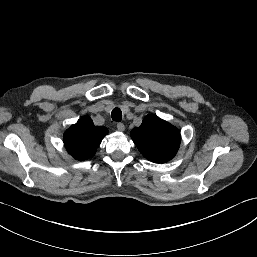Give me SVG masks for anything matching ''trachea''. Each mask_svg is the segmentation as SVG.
Returning <instances> with one entry per match:
<instances>
[{
	"mask_svg": "<svg viewBox=\"0 0 257 257\" xmlns=\"http://www.w3.org/2000/svg\"><path fill=\"white\" fill-rule=\"evenodd\" d=\"M111 117L114 121L120 122L122 119V112L119 108H114L111 113Z\"/></svg>",
	"mask_w": 257,
	"mask_h": 257,
	"instance_id": "trachea-1",
	"label": "trachea"
}]
</instances>
